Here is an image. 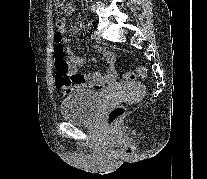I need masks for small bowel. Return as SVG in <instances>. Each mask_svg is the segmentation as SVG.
Listing matches in <instances>:
<instances>
[{
  "instance_id": "small-bowel-1",
  "label": "small bowel",
  "mask_w": 207,
  "mask_h": 179,
  "mask_svg": "<svg viewBox=\"0 0 207 179\" xmlns=\"http://www.w3.org/2000/svg\"><path fill=\"white\" fill-rule=\"evenodd\" d=\"M72 12L73 6L68 5L65 15H71ZM57 31L61 32L62 34H64L66 31L65 20L63 17H59L57 19ZM93 49L106 61V69L104 73L94 72L92 74H81L78 72V67L81 66L84 61L82 59L72 57L71 55L68 57L71 75L79 77V81L74 86L77 89L102 90L107 86L114 84L116 81L117 58L115 53L100 45L93 46ZM66 52L70 54V50L68 48L66 49Z\"/></svg>"
}]
</instances>
